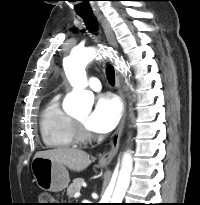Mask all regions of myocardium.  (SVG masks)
Segmentation results:
<instances>
[{
    "instance_id": "1",
    "label": "myocardium",
    "mask_w": 200,
    "mask_h": 205,
    "mask_svg": "<svg viewBox=\"0 0 200 205\" xmlns=\"http://www.w3.org/2000/svg\"><path fill=\"white\" fill-rule=\"evenodd\" d=\"M74 137L76 141L88 142L92 140V134L87 130L86 126L79 120L72 118Z\"/></svg>"
}]
</instances>
